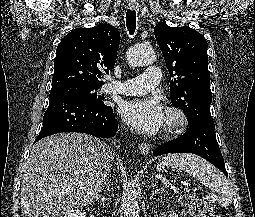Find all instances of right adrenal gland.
Here are the masks:
<instances>
[{
  "label": "right adrenal gland",
  "mask_w": 255,
  "mask_h": 217,
  "mask_svg": "<svg viewBox=\"0 0 255 217\" xmlns=\"http://www.w3.org/2000/svg\"><path fill=\"white\" fill-rule=\"evenodd\" d=\"M105 185H106V183H105ZM103 194L105 195V190H104ZM104 195L99 194L98 197H97V200L101 199V202H102L103 205L105 204V196Z\"/></svg>",
  "instance_id": "obj_1"
}]
</instances>
